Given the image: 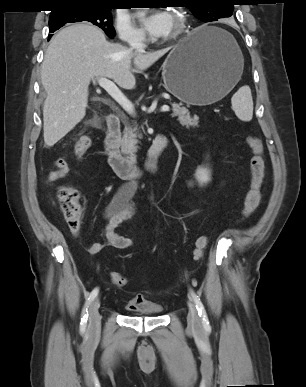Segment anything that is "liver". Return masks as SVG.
Here are the masks:
<instances>
[{"mask_svg": "<svg viewBox=\"0 0 306 387\" xmlns=\"http://www.w3.org/2000/svg\"><path fill=\"white\" fill-rule=\"evenodd\" d=\"M169 49L133 51L108 42L103 31L89 23L62 29L51 39L41 67L47 93L43 107L45 144H56L85 117L93 78H109L121 88L133 89L132 63L136 70L144 71Z\"/></svg>", "mask_w": 306, "mask_h": 387, "instance_id": "6515ba94", "label": "liver"}]
</instances>
